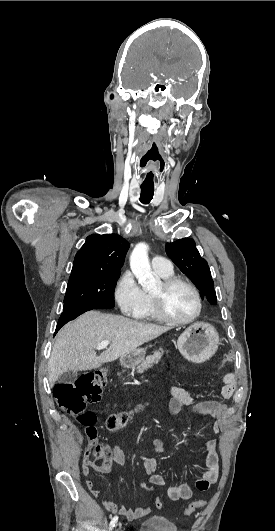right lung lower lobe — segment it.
Returning <instances> with one entry per match:
<instances>
[{"label": "right lung lower lobe", "mask_w": 275, "mask_h": 531, "mask_svg": "<svg viewBox=\"0 0 275 531\" xmlns=\"http://www.w3.org/2000/svg\"><path fill=\"white\" fill-rule=\"evenodd\" d=\"M86 311H89V309H72V310H66V311H63V313L61 314L59 320H58V324H57V327H56V330H55V333L58 332V330L64 325L66 324L67 322H69L70 320H73L75 319L76 317H78L79 315L83 314L84 312ZM55 335V334H54Z\"/></svg>", "instance_id": "right-lung-lower-lobe-1"}]
</instances>
